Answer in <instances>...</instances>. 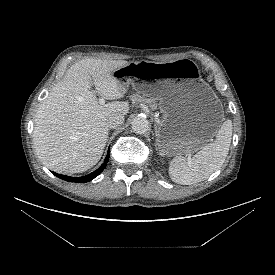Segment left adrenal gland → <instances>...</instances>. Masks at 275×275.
I'll use <instances>...</instances> for the list:
<instances>
[{
  "instance_id": "left-adrenal-gland-1",
  "label": "left adrenal gland",
  "mask_w": 275,
  "mask_h": 275,
  "mask_svg": "<svg viewBox=\"0 0 275 275\" xmlns=\"http://www.w3.org/2000/svg\"><path fill=\"white\" fill-rule=\"evenodd\" d=\"M155 133H156V136H158V131H157V126H156V124H155ZM157 141V140H156Z\"/></svg>"
}]
</instances>
